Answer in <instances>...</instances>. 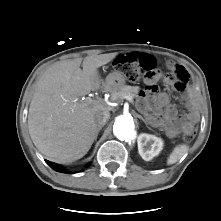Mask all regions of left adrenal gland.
Returning <instances> with one entry per match:
<instances>
[{
	"label": "left adrenal gland",
	"instance_id": "obj_1",
	"mask_svg": "<svg viewBox=\"0 0 221 221\" xmlns=\"http://www.w3.org/2000/svg\"><path fill=\"white\" fill-rule=\"evenodd\" d=\"M137 116H138V118H140L141 120H143L146 124H148L147 121H146L141 115H137Z\"/></svg>",
	"mask_w": 221,
	"mask_h": 221
}]
</instances>
